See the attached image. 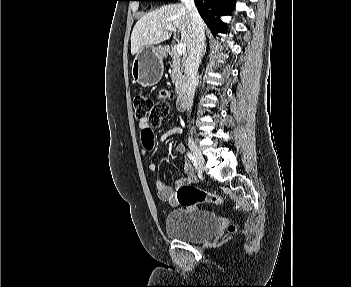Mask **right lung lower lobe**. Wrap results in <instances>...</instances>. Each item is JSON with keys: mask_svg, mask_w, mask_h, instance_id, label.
<instances>
[{"mask_svg": "<svg viewBox=\"0 0 351 287\" xmlns=\"http://www.w3.org/2000/svg\"><path fill=\"white\" fill-rule=\"evenodd\" d=\"M200 16L213 34L219 32L224 24L214 16L230 14L235 0H194Z\"/></svg>", "mask_w": 351, "mask_h": 287, "instance_id": "1", "label": "right lung lower lobe"}]
</instances>
